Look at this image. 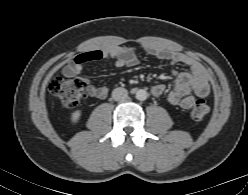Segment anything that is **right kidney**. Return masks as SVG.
<instances>
[{"label": "right kidney", "instance_id": "1", "mask_svg": "<svg viewBox=\"0 0 248 195\" xmlns=\"http://www.w3.org/2000/svg\"><path fill=\"white\" fill-rule=\"evenodd\" d=\"M80 116H81V111L80 110H77V111L73 112L72 115H71V121L73 123L78 122V120L80 119Z\"/></svg>", "mask_w": 248, "mask_h": 195}]
</instances>
